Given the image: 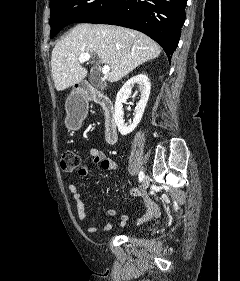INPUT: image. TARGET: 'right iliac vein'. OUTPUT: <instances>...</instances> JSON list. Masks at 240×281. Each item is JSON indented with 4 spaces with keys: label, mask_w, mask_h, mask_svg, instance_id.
<instances>
[{
    "label": "right iliac vein",
    "mask_w": 240,
    "mask_h": 281,
    "mask_svg": "<svg viewBox=\"0 0 240 281\" xmlns=\"http://www.w3.org/2000/svg\"><path fill=\"white\" fill-rule=\"evenodd\" d=\"M149 183H150L149 176L146 175V176L144 177V179H143V182H142V185H141V189H142L143 191H145V190L148 188Z\"/></svg>",
    "instance_id": "63e3f726"
}]
</instances>
